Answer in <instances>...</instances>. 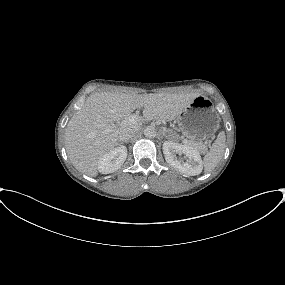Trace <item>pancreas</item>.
Segmentation results:
<instances>
[{
    "mask_svg": "<svg viewBox=\"0 0 285 285\" xmlns=\"http://www.w3.org/2000/svg\"><path fill=\"white\" fill-rule=\"evenodd\" d=\"M189 144L196 147L202 153H205L207 150L206 145L202 142L197 141V140L192 139V141H189Z\"/></svg>",
    "mask_w": 285,
    "mask_h": 285,
    "instance_id": "1",
    "label": "pancreas"
}]
</instances>
